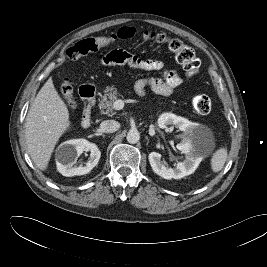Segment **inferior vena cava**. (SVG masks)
Returning a JSON list of instances; mask_svg holds the SVG:
<instances>
[{
  "label": "inferior vena cava",
  "mask_w": 267,
  "mask_h": 267,
  "mask_svg": "<svg viewBox=\"0 0 267 267\" xmlns=\"http://www.w3.org/2000/svg\"><path fill=\"white\" fill-rule=\"evenodd\" d=\"M120 124L115 120H105L100 124V130L104 133H113L117 131Z\"/></svg>",
  "instance_id": "602c4592"
}]
</instances>
